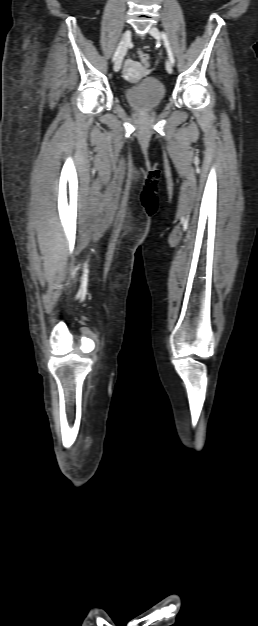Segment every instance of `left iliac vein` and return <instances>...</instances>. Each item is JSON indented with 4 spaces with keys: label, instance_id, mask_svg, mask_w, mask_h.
<instances>
[{
    "label": "left iliac vein",
    "instance_id": "4c4485c4",
    "mask_svg": "<svg viewBox=\"0 0 258 626\" xmlns=\"http://www.w3.org/2000/svg\"><path fill=\"white\" fill-rule=\"evenodd\" d=\"M149 33H150V35H151V36H153L155 39H157V40H159V41L161 40V33H160V31H159V29H158L157 27H154V26H153V27H151V28H150V30H149ZM166 70H167V72H168L169 74H172V73H173L172 63H171L169 60H167V61H166Z\"/></svg>",
    "mask_w": 258,
    "mask_h": 626
}]
</instances>
